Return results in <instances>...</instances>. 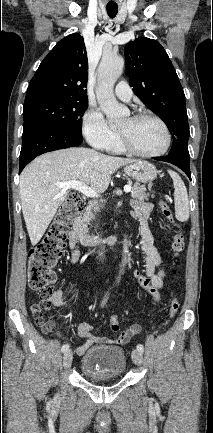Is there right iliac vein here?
Returning a JSON list of instances; mask_svg holds the SVG:
<instances>
[{"instance_id": "obj_1", "label": "right iliac vein", "mask_w": 213, "mask_h": 433, "mask_svg": "<svg viewBox=\"0 0 213 433\" xmlns=\"http://www.w3.org/2000/svg\"><path fill=\"white\" fill-rule=\"evenodd\" d=\"M73 353L71 350H67L63 355V366L64 368H69L72 364Z\"/></svg>"}]
</instances>
